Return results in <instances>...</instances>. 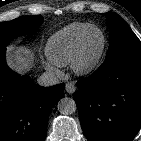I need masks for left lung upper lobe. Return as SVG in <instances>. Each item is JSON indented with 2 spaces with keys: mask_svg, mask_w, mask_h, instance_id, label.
<instances>
[{
  "mask_svg": "<svg viewBox=\"0 0 141 141\" xmlns=\"http://www.w3.org/2000/svg\"><path fill=\"white\" fill-rule=\"evenodd\" d=\"M110 29V45L105 60L125 54H141V42L116 13H104Z\"/></svg>",
  "mask_w": 141,
  "mask_h": 141,
  "instance_id": "5c2ea615",
  "label": "left lung upper lobe"
}]
</instances>
